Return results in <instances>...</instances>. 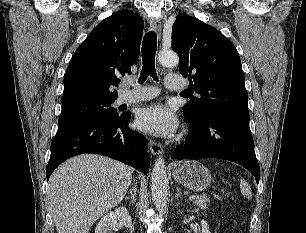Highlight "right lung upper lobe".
I'll return each mask as SVG.
<instances>
[{
  "instance_id": "cb5924a9",
  "label": "right lung upper lobe",
  "mask_w": 306,
  "mask_h": 233,
  "mask_svg": "<svg viewBox=\"0 0 306 233\" xmlns=\"http://www.w3.org/2000/svg\"><path fill=\"white\" fill-rule=\"evenodd\" d=\"M144 21L128 10L100 22L76 50L64 77L62 104L82 100H115L120 75L131 73L139 57Z\"/></svg>"
}]
</instances>
